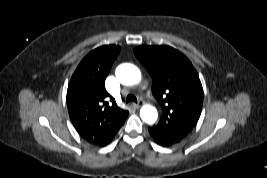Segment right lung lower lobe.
<instances>
[{
	"label": "right lung lower lobe",
	"instance_id": "98d812e1",
	"mask_svg": "<svg viewBox=\"0 0 267 178\" xmlns=\"http://www.w3.org/2000/svg\"><path fill=\"white\" fill-rule=\"evenodd\" d=\"M117 132L118 131H116L114 133V135H112L110 138H108L107 140H105L103 143L98 144V146H106V145H108L112 141V139L115 137V135L117 134Z\"/></svg>",
	"mask_w": 267,
	"mask_h": 178
}]
</instances>
